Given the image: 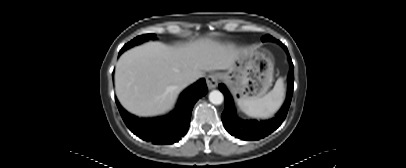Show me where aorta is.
Here are the masks:
<instances>
[{
  "label": "aorta",
  "instance_id": "1",
  "mask_svg": "<svg viewBox=\"0 0 406 168\" xmlns=\"http://www.w3.org/2000/svg\"><path fill=\"white\" fill-rule=\"evenodd\" d=\"M224 100L223 94L218 90H213L209 94V101L214 105L222 104Z\"/></svg>",
  "mask_w": 406,
  "mask_h": 168
}]
</instances>
